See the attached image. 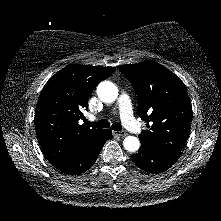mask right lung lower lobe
I'll list each match as a JSON object with an SVG mask.
<instances>
[{"label": "right lung lower lobe", "mask_w": 221, "mask_h": 221, "mask_svg": "<svg viewBox=\"0 0 221 221\" xmlns=\"http://www.w3.org/2000/svg\"><path fill=\"white\" fill-rule=\"evenodd\" d=\"M111 136L112 132L110 130H101L95 137L88 141L72 159L57 169L63 173L75 175L85 172L95 163L103 145Z\"/></svg>", "instance_id": "1"}]
</instances>
